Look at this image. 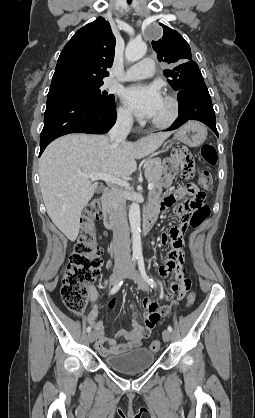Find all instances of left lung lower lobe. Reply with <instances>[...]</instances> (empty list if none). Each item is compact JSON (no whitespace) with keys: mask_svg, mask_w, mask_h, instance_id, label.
<instances>
[{"mask_svg":"<svg viewBox=\"0 0 255 418\" xmlns=\"http://www.w3.org/2000/svg\"><path fill=\"white\" fill-rule=\"evenodd\" d=\"M179 117L167 130L179 128L188 120L206 124L217 136L215 112L204 80L198 81L178 93Z\"/></svg>","mask_w":255,"mask_h":418,"instance_id":"left-lung-lower-lobe-1","label":"left lung lower lobe"}]
</instances>
